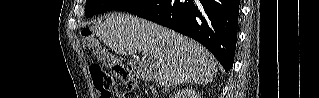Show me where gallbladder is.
<instances>
[{"label":"gallbladder","instance_id":"bac80fb5","mask_svg":"<svg viewBox=\"0 0 319 98\" xmlns=\"http://www.w3.org/2000/svg\"><path fill=\"white\" fill-rule=\"evenodd\" d=\"M130 65L134 70H138V61L135 58H132L130 60Z\"/></svg>","mask_w":319,"mask_h":98}]
</instances>
